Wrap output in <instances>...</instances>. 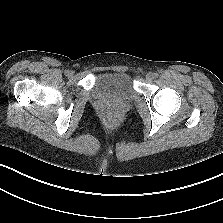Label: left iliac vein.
Wrapping results in <instances>:
<instances>
[{
  "instance_id": "left-iliac-vein-1",
  "label": "left iliac vein",
  "mask_w": 223,
  "mask_h": 223,
  "mask_svg": "<svg viewBox=\"0 0 223 223\" xmlns=\"http://www.w3.org/2000/svg\"><path fill=\"white\" fill-rule=\"evenodd\" d=\"M154 78H155L154 73H152V72L147 73V75H146L147 81H152Z\"/></svg>"
}]
</instances>
